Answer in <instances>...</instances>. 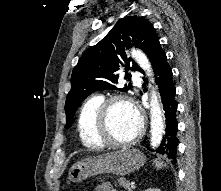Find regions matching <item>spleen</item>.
<instances>
[{
    "mask_svg": "<svg viewBox=\"0 0 221 191\" xmlns=\"http://www.w3.org/2000/svg\"><path fill=\"white\" fill-rule=\"evenodd\" d=\"M153 163L155 164V167H156L157 169L166 168V166H167L166 164H164L163 161H161V160H159V159L154 160Z\"/></svg>",
    "mask_w": 221,
    "mask_h": 191,
    "instance_id": "1",
    "label": "spleen"
}]
</instances>
